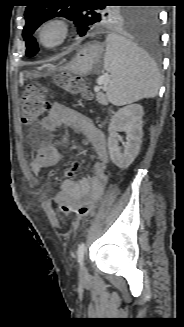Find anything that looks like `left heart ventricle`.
Here are the masks:
<instances>
[{"instance_id": "obj_1", "label": "left heart ventricle", "mask_w": 184, "mask_h": 327, "mask_svg": "<svg viewBox=\"0 0 184 327\" xmlns=\"http://www.w3.org/2000/svg\"><path fill=\"white\" fill-rule=\"evenodd\" d=\"M45 41L46 42H54L57 37H58V30L57 28L55 27H51V28H48L46 31H45Z\"/></svg>"}]
</instances>
